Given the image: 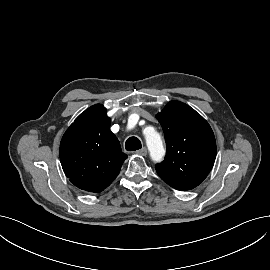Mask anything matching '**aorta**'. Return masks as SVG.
Wrapping results in <instances>:
<instances>
[{
  "instance_id": "aorta-1",
  "label": "aorta",
  "mask_w": 270,
  "mask_h": 270,
  "mask_svg": "<svg viewBox=\"0 0 270 270\" xmlns=\"http://www.w3.org/2000/svg\"><path fill=\"white\" fill-rule=\"evenodd\" d=\"M145 139L152 159L161 161L165 154L161 136L156 131L145 132Z\"/></svg>"
}]
</instances>
